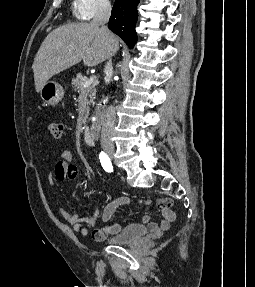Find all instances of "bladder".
<instances>
[{"label": "bladder", "mask_w": 255, "mask_h": 287, "mask_svg": "<svg viewBox=\"0 0 255 287\" xmlns=\"http://www.w3.org/2000/svg\"><path fill=\"white\" fill-rule=\"evenodd\" d=\"M148 233L145 226L139 224H128L117 233L106 238V242L112 245L130 244L143 238Z\"/></svg>", "instance_id": "1"}]
</instances>
